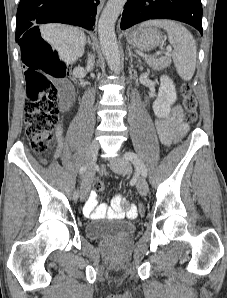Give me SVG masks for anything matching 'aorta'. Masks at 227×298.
<instances>
[{"label": "aorta", "instance_id": "aorta-1", "mask_svg": "<svg viewBox=\"0 0 227 298\" xmlns=\"http://www.w3.org/2000/svg\"><path fill=\"white\" fill-rule=\"evenodd\" d=\"M127 0H108L98 22L101 50L110 69L120 73L121 57L115 34V23Z\"/></svg>", "mask_w": 227, "mask_h": 298}]
</instances>
